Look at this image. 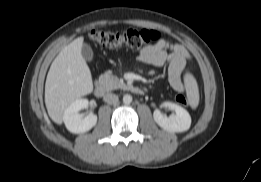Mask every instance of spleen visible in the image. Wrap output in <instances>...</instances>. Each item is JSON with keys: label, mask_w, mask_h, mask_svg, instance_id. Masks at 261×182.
<instances>
[{"label": "spleen", "mask_w": 261, "mask_h": 182, "mask_svg": "<svg viewBox=\"0 0 261 182\" xmlns=\"http://www.w3.org/2000/svg\"><path fill=\"white\" fill-rule=\"evenodd\" d=\"M185 88L189 104L192 108H196L199 104V91L195 78L191 74L185 76Z\"/></svg>", "instance_id": "obj_1"}]
</instances>
